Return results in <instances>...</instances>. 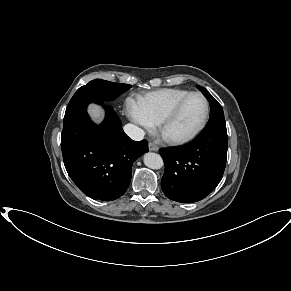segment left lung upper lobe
<instances>
[{
  "label": "left lung upper lobe",
  "instance_id": "5c2ea615",
  "mask_svg": "<svg viewBox=\"0 0 291 291\" xmlns=\"http://www.w3.org/2000/svg\"><path fill=\"white\" fill-rule=\"evenodd\" d=\"M197 88L202 91L203 95L208 99L210 103V118L208 124L206 126H214V125H226L224 113L221 105L217 102V100L203 87L197 86Z\"/></svg>",
  "mask_w": 291,
  "mask_h": 291
}]
</instances>
